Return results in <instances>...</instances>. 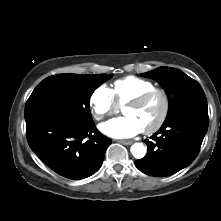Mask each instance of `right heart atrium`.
<instances>
[{
  "instance_id": "right-heart-atrium-1",
  "label": "right heart atrium",
  "mask_w": 221,
  "mask_h": 221,
  "mask_svg": "<svg viewBox=\"0 0 221 221\" xmlns=\"http://www.w3.org/2000/svg\"><path fill=\"white\" fill-rule=\"evenodd\" d=\"M89 105L92 116L98 121L117 109L113 91L105 84H101L94 89L89 99Z\"/></svg>"
}]
</instances>
